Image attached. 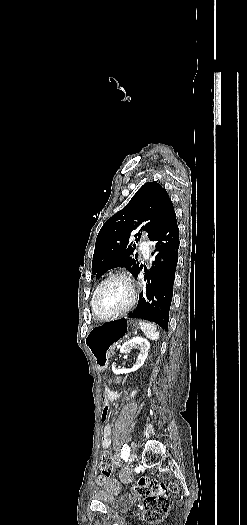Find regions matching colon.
<instances>
[{
  "mask_svg": "<svg viewBox=\"0 0 247 525\" xmlns=\"http://www.w3.org/2000/svg\"><path fill=\"white\" fill-rule=\"evenodd\" d=\"M99 386L101 389L106 390L109 388L110 383L108 380L103 379L100 381ZM102 412L99 423L104 425L108 415L111 414L112 409L107 402L100 404ZM113 459L110 453L104 452L101 454L100 471L106 477H109L113 472ZM133 492L142 498L143 509L142 519L149 524H158L162 522L167 515V512L171 506L169 496L176 494L180 491V487L176 483L163 484L157 481L142 477L138 479L132 486Z\"/></svg>",
  "mask_w": 247,
  "mask_h": 525,
  "instance_id": "colon-1",
  "label": "colon"
}]
</instances>
